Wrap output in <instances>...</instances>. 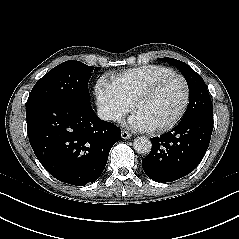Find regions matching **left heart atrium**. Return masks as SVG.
Wrapping results in <instances>:
<instances>
[{
  "mask_svg": "<svg viewBox=\"0 0 239 239\" xmlns=\"http://www.w3.org/2000/svg\"><path fill=\"white\" fill-rule=\"evenodd\" d=\"M127 126L135 131H148L151 127L136 113L132 114L128 121Z\"/></svg>",
  "mask_w": 239,
  "mask_h": 239,
  "instance_id": "1",
  "label": "left heart atrium"
}]
</instances>
